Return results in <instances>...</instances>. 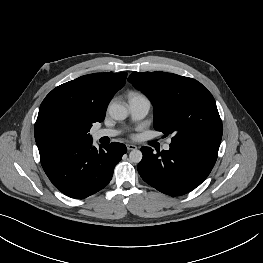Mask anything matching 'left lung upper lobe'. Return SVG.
<instances>
[{
    "label": "left lung upper lobe",
    "mask_w": 263,
    "mask_h": 263,
    "mask_svg": "<svg viewBox=\"0 0 263 263\" xmlns=\"http://www.w3.org/2000/svg\"><path fill=\"white\" fill-rule=\"evenodd\" d=\"M128 81L154 106V128L174 145L220 146L222 122L212 94L197 80L165 72H133Z\"/></svg>",
    "instance_id": "5c2ea615"
}]
</instances>
